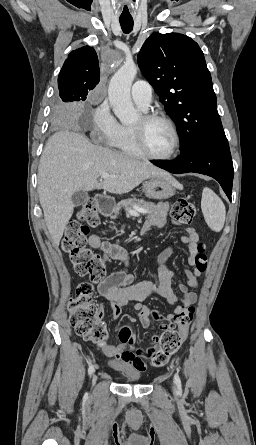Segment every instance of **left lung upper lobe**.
<instances>
[{
  "instance_id": "left-lung-upper-lobe-1",
  "label": "left lung upper lobe",
  "mask_w": 256,
  "mask_h": 445,
  "mask_svg": "<svg viewBox=\"0 0 256 445\" xmlns=\"http://www.w3.org/2000/svg\"><path fill=\"white\" fill-rule=\"evenodd\" d=\"M138 65L177 124L181 152L199 140L225 136L211 75L194 40L154 33L144 42Z\"/></svg>"
}]
</instances>
